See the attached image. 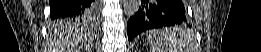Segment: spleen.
<instances>
[{
	"label": "spleen",
	"instance_id": "spleen-1",
	"mask_svg": "<svg viewBox=\"0 0 261 52\" xmlns=\"http://www.w3.org/2000/svg\"><path fill=\"white\" fill-rule=\"evenodd\" d=\"M152 52H182L188 46L190 36L182 27H171L155 30L149 36Z\"/></svg>",
	"mask_w": 261,
	"mask_h": 52
}]
</instances>
